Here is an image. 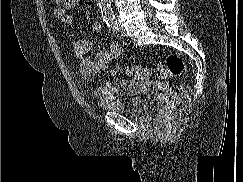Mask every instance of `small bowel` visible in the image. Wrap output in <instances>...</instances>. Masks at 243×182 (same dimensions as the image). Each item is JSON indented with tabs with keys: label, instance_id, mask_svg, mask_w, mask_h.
I'll list each match as a JSON object with an SVG mask.
<instances>
[{
	"label": "small bowel",
	"instance_id": "c3829d8e",
	"mask_svg": "<svg viewBox=\"0 0 243 182\" xmlns=\"http://www.w3.org/2000/svg\"><path fill=\"white\" fill-rule=\"evenodd\" d=\"M78 2L79 0H67L64 7L55 9L54 17L56 20L65 27L71 28L73 18L68 10L74 8ZM101 29V23L99 21H94L92 30L95 33H99ZM68 39L75 57L79 60L80 74L88 82L96 81L97 75L107 71L111 61L122 53V47L118 43L110 42L105 50L91 55L93 42L89 38H75L69 36ZM114 75L115 74L111 72L108 77H105L100 81L99 85L94 90L95 96H111L117 93L120 89L130 91L135 87L133 83L126 81L114 83L111 79Z\"/></svg>",
	"mask_w": 243,
	"mask_h": 182
}]
</instances>
